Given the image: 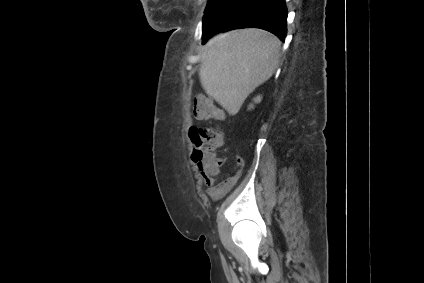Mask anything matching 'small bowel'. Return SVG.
<instances>
[{"mask_svg": "<svg viewBox=\"0 0 424 283\" xmlns=\"http://www.w3.org/2000/svg\"><path fill=\"white\" fill-rule=\"evenodd\" d=\"M225 162L226 159L218 158V165L216 167H209L201 163L197 165L199 178L207 187V195L212 199H219L225 196L237 184L242 174L244 160L240 156H236V165L233 174L221 179V169Z\"/></svg>", "mask_w": 424, "mask_h": 283, "instance_id": "1", "label": "small bowel"}]
</instances>
